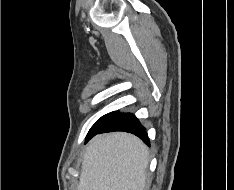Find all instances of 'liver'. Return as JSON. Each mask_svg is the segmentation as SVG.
<instances>
[{"instance_id":"1","label":"liver","mask_w":234,"mask_h":190,"mask_svg":"<svg viewBox=\"0 0 234 190\" xmlns=\"http://www.w3.org/2000/svg\"><path fill=\"white\" fill-rule=\"evenodd\" d=\"M148 148L136 136L116 132L88 144L78 190H144Z\"/></svg>"}]
</instances>
